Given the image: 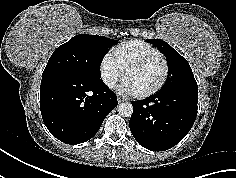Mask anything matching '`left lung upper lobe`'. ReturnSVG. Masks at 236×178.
<instances>
[{
	"mask_svg": "<svg viewBox=\"0 0 236 178\" xmlns=\"http://www.w3.org/2000/svg\"><path fill=\"white\" fill-rule=\"evenodd\" d=\"M148 42L165 55L168 64V78L160 91H198L193 72L184 57L161 39H149Z\"/></svg>",
	"mask_w": 236,
	"mask_h": 178,
	"instance_id": "1",
	"label": "left lung upper lobe"
}]
</instances>
